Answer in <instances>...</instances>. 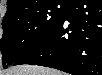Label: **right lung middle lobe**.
Returning <instances> with one entry per match:
<instances>
[{
	"instance_id": "1",
	"label": "right lung middle lobe",
	"mask_w": 102,
	"mask_h": 75,
	"mask_svg": "<svg viewBox=\"0 0 102 75\" xmlns=\"http://www.w3.org/2000/svg\"><path fill=\"white\" fill-rule=\"evenodd\" d=\"M70 1H52L30 10L6 13L1 40L3 64L28 56L64 18ZM19 19V20H18Z\"/></svg>"
}]
</instances>
